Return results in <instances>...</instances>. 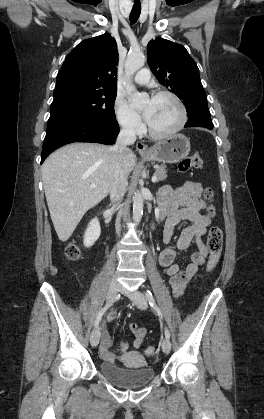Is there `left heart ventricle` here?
Listing matches in <instances>:
<instances>
[{
    "instance_id": "1",
    "label": "left heart ventricle",
    "mask_w": 264,
    "mask_h": 419,
    "mask_svg": "<svg viewBox=\"0 0 264 419\" xmlns=\"http://www.w3.org/2000/svg\"><path fill=\"white\" fill-rule=\"evenodd\" d=\"M149 107L151 119L148 124L154 131L166 132L178 123L179 109L171 98L166 96L152 98L145 104L144 110Z\"/></svg>"
}]
</instances>
